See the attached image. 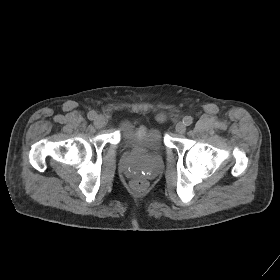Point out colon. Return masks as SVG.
Masks as SVG:
<instances>
[{"label":"colon","mask_w":280,"mask_h":280,"mask_svg":"<svg viewBox=\"0 0 280 280\" xmlns=\"http://www.w3.org/2000/svg\"><path fill=\"white\" fill-rule=\"evenodd\" d=\"M133 185L137 190H143L146 187V182L142 179H137L134 181Z\"/></svg>","instance_id":"obj_1"}]
</instances>
